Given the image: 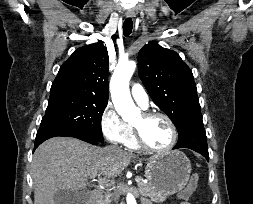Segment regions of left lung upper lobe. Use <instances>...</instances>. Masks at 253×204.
Segmentation results:
<instances>
[{
  "label": "left lung upper lobe",
  "mask_w": 253,
  "mask_h": 204,
  "mask_svg": "<svg viewBox=\"0 0 253 204\" xmlns=\"http://www.w3.org/2000/svg\"><path fill=\"white\" fill-rule=\"evenodd\" d=\"M138 64L149 95L178 133L189 120L202 115L192 71L176 52L150 42L139 51Z\"/></svg>",
  "instance_id": "1"
}]
</instances>
